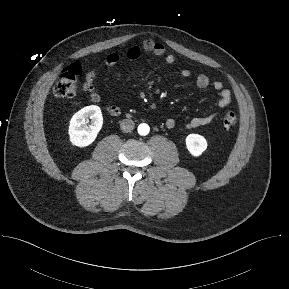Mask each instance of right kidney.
I'll use <instances>...</instances> for the list:
<instances>
[{
    "label": "right kidney",
    "instance_id": "1",
    "mask_svg": "<svg viewBox=\"0 0 289 289\" xmlns=\"http://www.w3.org/2000/svg\"><path fill=\"white\" fill-rule=\"evenodd\" d=\"M91 119V124L87 125ZM103 125V117L100 107L90 105L75 113L69 125V138L73 145L86 147L92 144Z\"/></svg>",
    "mask_w": 289,
    "mask_h": 289
}]
</instances>
